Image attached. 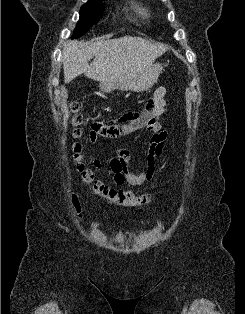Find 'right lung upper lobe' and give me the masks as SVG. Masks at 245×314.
<instances>
[{"mask_svg":"<svg viewBox=\"0 0 245 314\" xmlns=\"http://www.w3.org/2000/svg\"><path fill=\"white\" fill-rule=\"evenodd\" d=\"M91 1H101V0H91Z\"/></svg>","mask_w":245,"mask_h":314,"instance_id":"obj_1","label":"right lung upper lobe"}]
</instances>
